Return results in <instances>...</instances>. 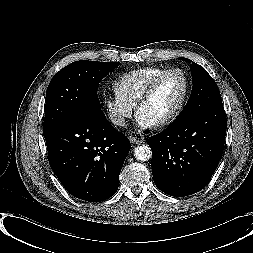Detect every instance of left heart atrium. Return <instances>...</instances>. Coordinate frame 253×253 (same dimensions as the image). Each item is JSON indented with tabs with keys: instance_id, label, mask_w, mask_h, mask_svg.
Instances as JSON below:
<instances>
[{
	"instance_id": "left-heart-atrium-1",
	"label": "left heart atrium",
	"mask_w": 253,
	"mask_h": 253,
	"mask_svg": "<svg viewBox=\"0 0 253 253\" xmlns=\"http://www.w3.org/2000/svg\"><path fill=\"white\" fill-rule=\"evenodd\" d=\"M136 123H137V127L140 130H147V129L151 128L152 126H154V124L149 119H147L146 117H144L141 114H137Z\"/></svg>"
}]
</instances>
